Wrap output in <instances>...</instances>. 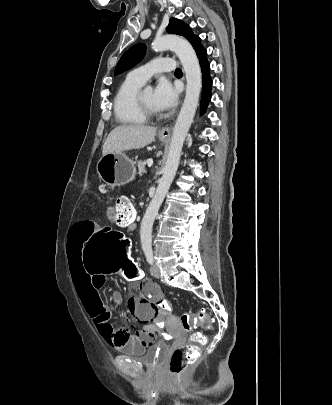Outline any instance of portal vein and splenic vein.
Returning a JSON list of instances; mask_svg holds the SVG:
<instances>
[{"mask_svg": "<svg viewBox=\"0 0 332 405\" xmlns=\"http://www.w3.org/2000/svg\"><path fill=\"white\" fill-rule=\"evenodd\" d=\"M152 164H153V160H152V159L147 160V165H148L149 167L152 166Z\"/></svg>", "mask_w": 332, "mask_h": 405, "instance_id": "obj_1", "label": "portal vein and splenic vein"}]
</instances>
